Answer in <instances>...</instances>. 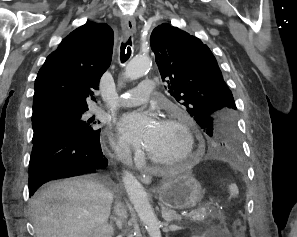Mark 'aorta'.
Wrapping results in <instances>:
<instances>
[{
    "instance_id": "obj_1",
    "label": "aorta",
    "mask_w": 297,
    "mask_h": 237,
    "mask_svg": "<svg viewBox=\"0 0 297 237\" xmlns=\"http://www.w3.org/2000/svg\"><path fill=\"white\" fill-rule=\"evenodd\" d=\"M150 67L149 57H135L126 65L123 77L126 80H136L144 76ZM123 183L127 195L150 237H161L160 222L153 211L142 184L128 171L124 172Z\"/></svg>"
}]
</instances>
